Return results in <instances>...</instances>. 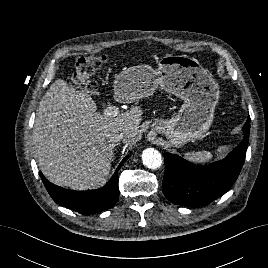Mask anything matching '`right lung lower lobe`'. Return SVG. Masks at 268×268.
I'll list each match as a JSON object with an SVG mask.
<instances>
[{
    "mask_svg": "<svg viewBox=\"0 0 268 268\" xmlns=\"http://www.w3.org/2000/svg\"><path fill=\"white\" fill-rule=\"evenodd\" d=\"M128 158L129 156H126L122 160L109 182L97 190H67L50 183L41 172L39 174L48 193L57 204L77 212L91 214L109 209L117 202L119 198L118 170Z\"/></svg>",
    "mask_w": 268,
    "mask_h": 268,
    "instance_id": "obj_1",
    "label": "right lung lower lobe"
}]
</instances>
